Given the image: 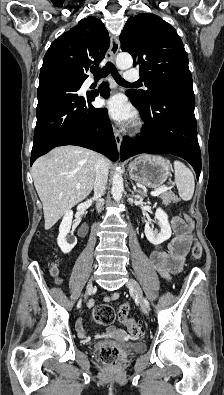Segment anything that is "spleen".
Masks as SVG:
<instances>
[{
	"mask_svg": "<svg viewBox=\"0 0 224 395\" xmlns=\"http://www.w3.org/2000/svg\"><path fill=\"white\" fill-rule=\"evenodd\" d=\"M175 184L179 196L184 201L192 198L195 188L194 176L191 170L180 161H174Z\"/></svg>",
	"mask_w": 224,
	"mask_h": 395,
	"instance_id": "3e777b00",
	"label": "spleen"
}]
</instances>
